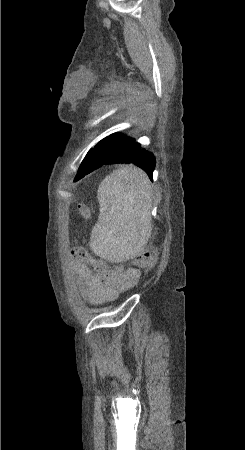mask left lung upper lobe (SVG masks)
<instances>
[{
    "label": "left lung upper lobe",
    "instance_id": "left-lung-upper-lobe-1",
    "mask_svg": "<svg viewBox=\"0 0 245 450\" xmlns=\"http://www.w3.org/2000/svg\"><path fill=\"white\" fill-rule=\"evenodd\" d=\"M131 140H132V138L124 137L120 133H114V134H111L108 137L104 138L103 140H101L96 146H99L102 148H105V147L116 148L119 146H123L124 144H127ZM95 152H96V150L91 153L88 152V154L84 158L83 162L81 163L78 174L83 171H86L87 169L92 168L94 165L98 164L101 157H99V154H96Z\"/></svg>",
    "mask_w": 245,
    "mask_h": 450
}]
</instances>
